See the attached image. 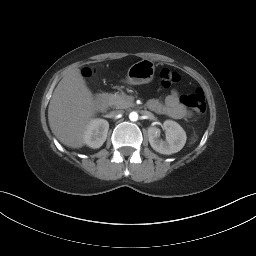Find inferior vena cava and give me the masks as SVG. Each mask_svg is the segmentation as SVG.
I'll use <instances>...</instances> for the list:
<instances>
[{"label": "inferior vena cava", "mask_w": 256, "mask_h": 256, "mask_svg": "<svg viewBox=\"0 0 256 256\" xmlns=\"http://www.w3.org/2000/svg\"><path fill=\"white\" fill-rule=\"evenodd\" d=\"M121 113H122L121 110H115V111H112L110 114H111V116H116V115H119Z\"/></svg>", "instance_id": "1"}]
</instances>
